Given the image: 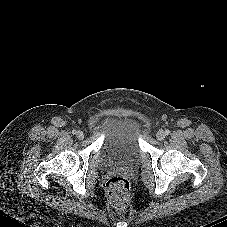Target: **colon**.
<instances>
[{
  "mask_svg": "<svg viewBox=\"0 0 227 227\" xmlns=\"http://www.w3.org/2000/svg\"><path fill=\"white\" fill-rule=\"evenodd\" d=\"M106 196L109 204L120 212L127 211L132 201V185L121 175H115L106 183Z\"/></svg>",
  "mask_w": 227,
  "mask_h": 227,
  "instance_id": "5ec220e1",
  "label": "colon"
}]
</instances>
